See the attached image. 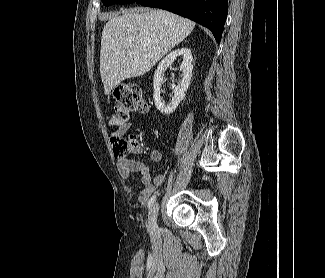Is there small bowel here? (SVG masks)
Masks as SVG:
<instances>
[{
  "mask_svg": "<svg viewBox=\"0 0 325 278\" xmlns=\"http://www.w3.org/2000/svg\"><path fill=\"white\" fill-rule=\"evenodd\" d=\"M132 127L131 122L124 123L118 133L125 134ZM162 159V153L157 149H152L150 151V160L153 162H159ZM120 175L125 179H131L135 174L139 175L140 182L143 186L138 195V200L141 203L147 201L149 196L155 190V187L161 185L164 182V175L151 176L149 167L146 163L142 161H130L127 159H120L118 165Z\"/></svg>",
  "mask_w": 325,
  "mask_h": 278,
  "instance_id": "small-bowel-1",
  "label": "small bowel"
}]
</instances>
